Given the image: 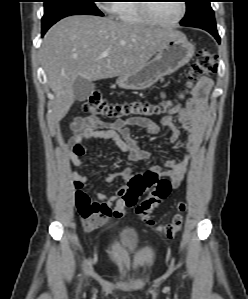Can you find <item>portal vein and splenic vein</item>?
I'll return each mask as SVG.
<instances>
[{
	"label": "portal vein and splenic vein",
	"mask_w": 248,
	"mask_h": 299,
	"mask_svg": "<svg viewBox=\"0 0 248 299\" xmlns=\"http://www.w3.org/2000/svg\"><path fill=\"white\" fill-rule=\"evenodd\" d=\"M107 56H109V52H108V51H104V52H102V53L100 54V57H101V58H105V57H107Z\"/></svg>",
	"instance_id": "obj_1"
}]
</instances>
